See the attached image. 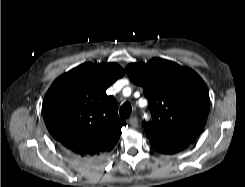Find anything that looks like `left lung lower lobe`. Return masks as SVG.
I'll return each instance as SVG.
<instances>
[{"label": "left lung lower lobe", "instance_id": "0a47b994", "mask_svg": "<svg viewBox=\"0 0 245 187\" xmlns=\"http://www.w3.org/2000/svg\"><path fill=\"white\" fill-rule=\"evenodd\" d=\"M151 145L157 151L164 153V154H173L180 152L187 148L190 143H177V144H163L158 142L150 141Z\"/></svg>", "mask_w": 245, "mask_h": 187}]
</instances>
